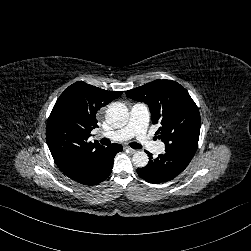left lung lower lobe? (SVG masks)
<instances>
[{
  "label": "left lung lower lobe",
  "instance_id": "obj_1",
  "mask_svg": "<svg viewBox=\"0 0 251 251\" xmlns=\"http://www.w3.org/2000/svg\"><path fill=\"white\" fill-rule=\"evenodd\" d=\"M149 155V163L138 168V175L149 183H164L179 175L190 163L193 156L177 150H165V153L153 159Z\"/></svg>",
  "mask_w": 251,
  "mask_h": 251
}]
</instances>
